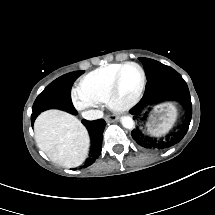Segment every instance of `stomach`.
I'll list each match as a JSON object with an SVG mask.
<instances>
[{
  "label": "stomach",
  "instance_id": "0dacf381",
  "mask_svg": "<svg viewBox=\"0 0 215 215\" xmlns=\"http://www.w3.org/2000/svg\"><path fill=\"white\" fill-rule=\"evenodd\" d=\"M178 118V107L174 103H165L149 110L145 118L141 117L140 124L150 135L161 137L172 130Z\"/></svg>",
  "mask_w": 215,
  "mask_h": 215
}]
</instances>
